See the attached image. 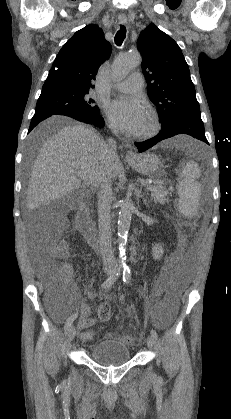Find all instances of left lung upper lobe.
<instances>
[{
  "mask_svg": "<svg viewBox=\"0 0 231 419\" xmlns=\"http://www.w3.org/2000/svg\"><path fill=\"white\" fill-rule=\"evenodd\" d=\"M150 100L157 106L162 128L186 115H200L188 64L178 44L156 25L143 30L137 41Z\"/></svg>",
  "mask_w": 231,
  "mask_h": 419,
  "instance_id": "obj_1",
  "label": "left lung upper lobe"
}]
</instances>
